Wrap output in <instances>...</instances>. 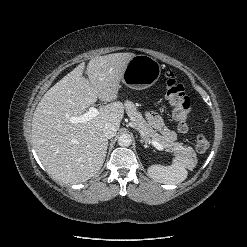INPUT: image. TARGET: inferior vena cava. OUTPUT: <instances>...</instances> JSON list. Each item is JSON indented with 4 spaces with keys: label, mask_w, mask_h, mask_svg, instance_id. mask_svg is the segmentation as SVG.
<instances>
[{
    "label": "inferior vena cava",
    "mask_w": 247,
    "mask_h": 247,
    "mask_svg": "<svg viewBox=\"0 0 247 247\" xmlns=\"http://www.w3.org/2000/svg\"><path fill=\"white\" fill-rule=\"evenodd\" d=\"M116 131H117L116 126L111 123L106 124L103 128L104 136L107 139L113 138L116 135Z\"/></svg>",
    "instance_id": "inferior-vena-cava-1"
}]
</instances>
